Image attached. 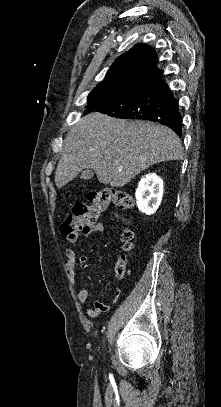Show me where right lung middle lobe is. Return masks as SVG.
Wrapping results in <instances>:
<instances>
[{
	"mask_svg": "<svg viewBox=\"0 0 221 407\" xmlns=\"http://www.w3.org/2000/svg\"><path fill=\"white\" fill-rule=\"evenodd\" d=\"M138 88L140 86L137 84L125 89L95 88L88 96L89 106L86 113L112 104Z\"/></svg>",
	"mask_w": 221,
	"mask_h": 407,
	"instance_id": "obj_1",
	"label": "right lung middle lobe"
}]
</instances>
